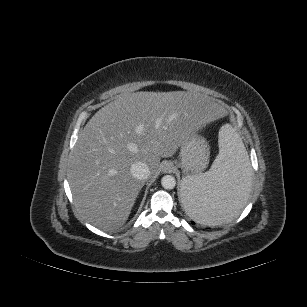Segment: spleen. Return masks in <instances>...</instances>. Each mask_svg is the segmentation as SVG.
I'll return each mask as SVG.
<instances>
[{"instance_id": "obj_1", "label": "spleen", "mask_w": 307, "mask_h": 307, "mask_svg": "<svg viewBox=\"0 0 307 307\" xmlns=\"http://www.w3.org/2000/svg\"><path fill=\"white\" fill-rule=\"evenodd\" d=\"M219 154L211 168L182 179L180 196L194 221L217 226L237 217L245 206L251 186L248 154L239 134L226 124L219 131Z\"/></svg>"}]
</instances>
